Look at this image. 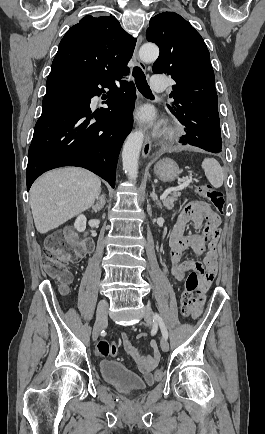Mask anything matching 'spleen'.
<instances>
[{
  "instance_id": "spleen-1",
  "label": "spleen",
  "mask_w": 265,
  "mask_h": 434,
  "mask_svg": "<svg viewBox=\"0 0 265 434\" xmlns=\"http://www.w3.org/2000/svg\"><path fill=\"white\" fill-rule=\"evenodd\" d=\"M202 168L213 188H220L223 184V170L217 160L205 158L204 162H202Z\"/></svg>"
}]
</instances>
